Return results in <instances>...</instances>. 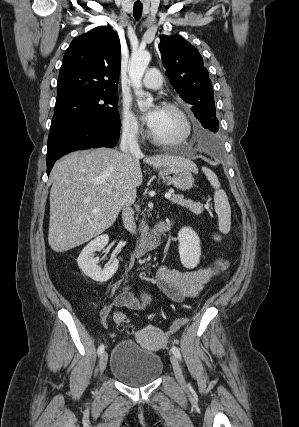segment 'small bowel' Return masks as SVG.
Masks as SVG:
<instances>
[{"label": "small bowel", "instance_id": "1", "mask_svg": "<svg viewBox=\"0 0 299 427\" xmlns=\"http://www.w3.org/2000/svg\"><path fill=\"white\" fill-rule=\"evenodd\" d=\"M223 237L215 233L213 240L221 242ZM226 263L222 259H216L203 268L189 271H179L161 265L155 275V284L171 300L180 302L186 298L196 296L204 284L208 282L219 270L223 269ZM143 302H139L129 291L124 288L114 300L116 307H125L130 310H142L149 307L153 300L151 295L142 290ZM102 320L105 326L111 327L110 309L102 311Z\"/></svg>", "mask_w": 299, "mask_h": 427}]
</instances>
